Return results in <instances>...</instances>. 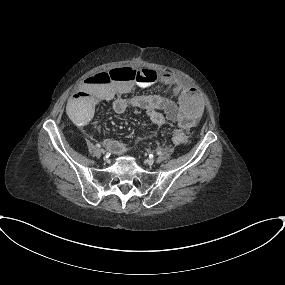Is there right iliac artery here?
Listing matches in <instances>:
<instances>
[{"label": "right iliac artery", "mask_w": 285, "mask_h": 285, "mask_svg": "<svg viewBox=\"0 0 285 285\" xmlns=\"http://www.w3.org/2000/svg\"><path fill=\"white\" fill-rule=\"evenodd\" d=\"M95 146H96L97 148H101V145H100L99 143H96Z\"/></svg>", "instance_id": "obj_1"}]
</instances>
